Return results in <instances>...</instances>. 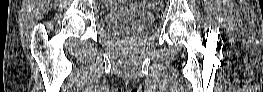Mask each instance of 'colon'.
Here are the masks:
<instances>
[{
	"label": "colon",
	"instance_id": "colon-1",
	"mask_svg": "<svg viewBox=\"0 0 263 92\" xmlns=\"http://www.w3.org/2000/svg\"><path fill=\"white\" fill-rule=\"evenodd\" d=\"M108 4L112 5V2H109Z\"/></svg>",
	"mask_w": 263,
	"mask_h": 92
}]
</instances>
